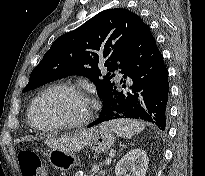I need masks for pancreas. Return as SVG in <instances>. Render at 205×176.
Listing matches in <instances>:
<instances>
[{"label": "pancreas", "mask_w": 205, "mask_h": 176, "mask_svg": "<svg viewBox=\"0 0 205 176\" xmlns=\"http://www.w3.org/2000/svg\"><path fill=\"white\" fill-rule=\"evenodd\" d=\"M92 172H96V174H91L90 176H105L106 174L105 170L98 171V166H94Z\"/></svg>", "instance_id": "obj_1"}]
</instances>
